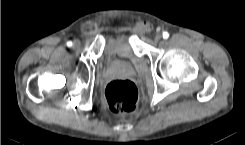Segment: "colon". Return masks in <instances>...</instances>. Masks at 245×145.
Returning a JSON list of instances; mask_svg holds the SVG:
<instances>
[{
  "mask_svg": "<svg viewBox=\"0 0 245 145\" xmlns=\"http://www.w3.org/2000/svg\"><path fill=\"white\" fill-rule=\"evenodd\" d=\"M139 29L149 30L150 24L139 20L136 22ZM105 98L109 108L117 114H126L133 111L138 104V92L135 84L128 79L111 81L105 90Z\"/></svg>",
  "mask_w": 245,
  "mask_h": 145,
  "instance_id": "colon-1",
  "label": "colon"
}]
</instances>
